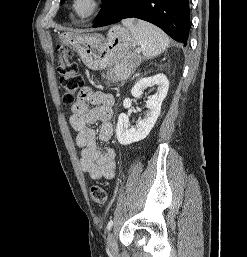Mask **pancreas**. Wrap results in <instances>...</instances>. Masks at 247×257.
I'll use <instances>...</instances> for the list:
<instances>
[{
    "instance_id": "obj_1",
    "label": "pancreas",
    "mask_w": 247,
    "mask_h": 257,
    "mask_svg": "<svg viewBox=\"0 0 247 257\" xmlns=\"http://www.w3.org/2000/svg\"><path fill=\"white\" fill-rule=\"evenodd\" d=\"M127 71L126 67L115 66L114 73H125Z\"/></svg>"
}]
</instances>
